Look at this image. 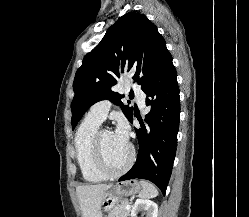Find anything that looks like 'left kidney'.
Segmentation results:
<instances>
[{"mask_svg":"<svg viewBox=\"0 0 249 217\" xmlns=\"http://www.w3.org/2000/svg\"><path fill=\"white\" fill-rule=\"evenodd\" d=\"M141 210L146 211V217H157L158 206L155 202L148 199H137L131 210V217H137Z\"/></svg>","mask_w":249,"mask_h":217,"instance_id":"5707ae66","label":"left kidney"}]
</instances>
